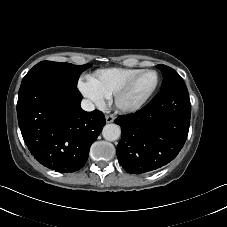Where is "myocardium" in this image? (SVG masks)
I'll list each match as a JSON object with an SVG mask.
<instances>
[{"mask_svg": "<svg viewBox=\"0 0 227 227\" xmlns=\"http://www.w3.org/2000/svg\"><path fill=\"white\" fill-rule=\"evenodd\" d=\"M145 73H154L156 76V81H155V84L152 87V89L148 92V94L143 99H141L136 104H133L130 106L123 105L121 103V99L123 98V96H125L129 92V90L133 86L134 82L138 79V77ZM158 85H159V74L157 71H155L153 69L140 70L138 73L133 75L126 83H124L121 87H119L114 92L113 103H114L115 107L122 112H126V113L136 112V111L140 110L141 108H143L149 102V100L152 98L155 91L157 90Z\"/></svg>", "mask_w": 227, "mask_h": 227, "instance_id": "myocardium-1", "label": "myocardium"}]
</instances>
